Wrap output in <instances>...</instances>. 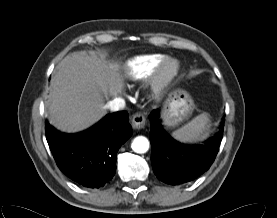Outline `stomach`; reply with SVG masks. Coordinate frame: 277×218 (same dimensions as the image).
<instances>
[{
  "label": "stomach",
  "instance_id": "obj_1",
  "mask_svg": "<svg viewBox=\"0 0 277 218\" xmlns=\"http://www.w3.org/2000/svg\"><path fill=\"white\" fill-rule=\"evenodd\" d=\"M194 109V102L190 95L181 89L169 93L165 101L161 117L163 124L168 127H175L187 119Z\"/></svg>",
  "mask_w": 277,
  "mask_h": 218
}]
</instances>
